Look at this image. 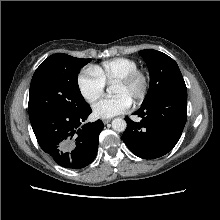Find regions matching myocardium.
I'll return each mask as SVG.
<instances>
[{"label":"myocardium","mask_w":220,"mask_h":220,"mask_svg":"<svg viewBox=\"0 0 220 220\" xmlns=\"http://www.w3.org/2000/svg\"><path fill=\"white\" fill-rule=\"evenodd\" d=\"M136 82L140 83V91L132 101L140 103L146 98L150 88V77L146 71L136 69L116 81L115 85L130 86Z\"/></svg>","instance_id":"1"}]
</instances>
